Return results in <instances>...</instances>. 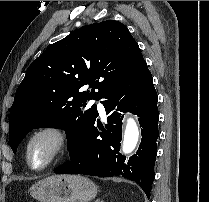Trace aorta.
Instances as JSON below:
<instances>
[{"instance_id":"1","label":"aorta","mask_w":209,"mask_h":202,"mask_svg":"<svg viewBox=\"0 0 209 202\" xmlns=\"http://www.w3.org/2000/svg\"><path fill=\"white\" fill-rule=\"evenodd\" d=\"M139 141V129L137 127L134 119H127L124 136H123V145L122 150L124 153L132 152Z\"/></svg>"}]
</instances>
